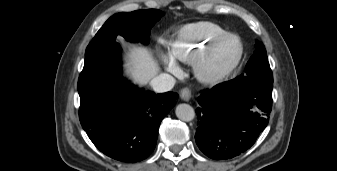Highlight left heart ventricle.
Here are the masks:
<instances>
[{"label": "left heart ventricle", "mask_w": 337, "mask_h": 171, "mask_svg": "<svg viewBox=\"0 0 337 171\" xmlns=\"http://www.w3.org/2000/svg\"><path fill=\"white\" fill-rule=\"evenodd\" d=\"M238 54V45L235 40H227L219 45L211 54L208 68L212 72H220L228 67Z\"/></svg>", "instance_id": "obj_1"}]
</instances>
